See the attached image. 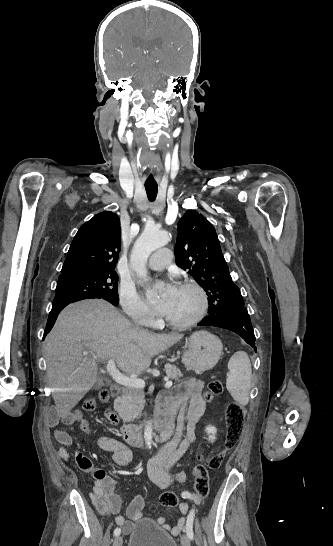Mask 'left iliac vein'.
Returning <instances> with one entry per match:
<instances>
[{
  "instance_id": "left-iliac-vein-1",
  "label": "left iliac vein",
  "mask_w": 333,
  "mask_h": 546,
  "mask_svg": "<svg viewBox=\"0 0 333 546\" xmlns=\"http://www.w3.org/2000/svg\"><path fill=\"white\" fill-rule=\"evenodd\" d=\"M181 544H182V546H191L190 537L188 535L184 534L181 537Z\"/></svg>"
}]
</instances>
